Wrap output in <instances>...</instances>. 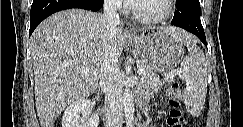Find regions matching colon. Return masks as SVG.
<instances>
[{"label": "colon", "instance_id": "colon-1", "mask_svg": "<svg viewBox=\"0 0 243 127\" xmlns=\"http://www.w3.org/2000/svg\"><path fill=\"white\" fill-rule=\"evenodd\" d=\"M171 110L167 118L170 127H185L188 125L182 108V94L178 83H172L167 90Z\"/></svg>", "mask_w": 243, "mask_h": 127}]
</instances>
